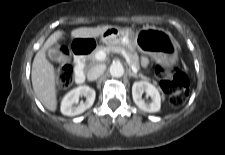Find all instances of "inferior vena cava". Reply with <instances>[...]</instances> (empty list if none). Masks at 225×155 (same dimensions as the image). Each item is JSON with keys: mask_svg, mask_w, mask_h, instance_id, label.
I'll return each instance as SVG.
<instances>
[{"mask_svg": "<svg viewBox=\"0 0 225 155\" xmlns=\"http://www.w3.org/2000/svg\"><path fill=\"white\" fill-rule=\"evenodd\" d=\"M106 66L104 64H98L91 67L87 73V79L93 81L98 79L105 71Z\"/></svg>", "mask_w": 225, "mask_h": 155, "instance_id": "1", "label": "inferior vena cava"}]
</instances>
